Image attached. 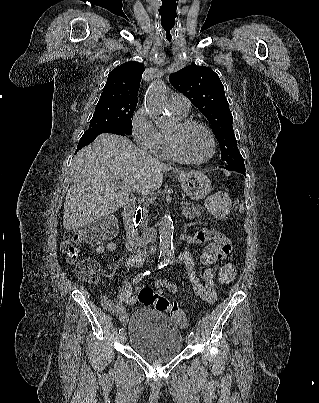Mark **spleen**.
I'll use <instances>...</instances> for the list:
<instances>
[{"instance_id":"3e777b00","label":"spleen","mask_w":319,"mask_h":403,"mask_svg":"<svg viewBox=\"0 0 319 403\" xmlns=\"http://www.w3.org/2000/svg\"><path fill=\"white\" fill-rule=\"evenodd\" d=\"M239 211L241 212V213H243L244 212V204H243V202L240 204V206H239Z\"/></svg>"}]
</instances>
